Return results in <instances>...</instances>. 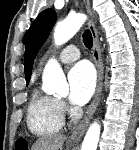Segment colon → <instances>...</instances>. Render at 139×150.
I'll return each instance as SVG.
<instances>
[{
	"mask_svg": "<svg viewBox=\"0 0 139 150\" xmlns=\"http://www.w3.org/2000/svg\"><path fill=\"white\" fill-rule=\"evenodd\" d=\"M16 150H28L27 143L25 141H17L16 142Z\"/></svg>",
	"mask_w": 139,
	"mask_h": 150,
	"instance_id": "obj_1",
	"label": "colon"
}]
</instances>
